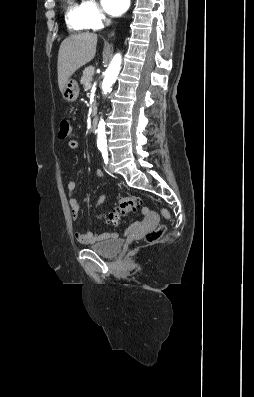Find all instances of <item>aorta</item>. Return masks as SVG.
I'll return each mask as SVG.
<instances>
[{
  "instance_id": "1",
  "label": "aorta",
  "mask_w": 254,
  "mask_h": 397,
  "mask_svg": "<svg viewBox=\"0 0 254 397\" xmlns=\"http://www.w3.org/2000/svg\"><path fill=\"white\" fill-rule=\"evenodd\" d=\"M121 67V55L116 54L109 67L106 70L105 77L103 80V85H102V90L104 94H107L108 92L111 91V87L116 81V78L119 74ZM97 144L99 147H105L107 145L106 141V131H105V122L101 118L98 124V129H97Z\"/></svg>"
}]
</instances>
